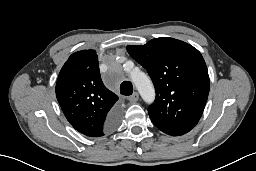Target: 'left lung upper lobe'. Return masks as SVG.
I'll return each mask as SVG.
<instances>
[{
    "label": "left lung upper lobe",
    "instance_id": "5c2ea615",
    "mask_svg": "<svg viewBox=\"0 0 256 171\" xmlns=\"http://www.w3.org/2000/svg\"><path fill=\"white\" fill-rule=\"evenodd\" d=\"M131 57L150 75L156 99L148 108L153 124L166 134L179 136L198 123L209 94V75L201 53L169 37L143 46H127Z\"/></svg>",
    "mask_w": 256,
    "mask_h": 171
}]
</instances>
